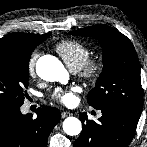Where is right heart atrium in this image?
Instances as JSON below:
<instances>
[{"label": "right heart atrium", "instance_id": "1", "mask_svg": "<svg viewBox=\"0 0 147 147\" xmlns=\"http://www.w3.org/2000/svg\"><path fill=\"white\" fill-rule=\"evenodd\" d=\"M38 57H39V53L35 51L31 54V56L29 58L28 71H29L30 75L35 74V66H36V62H37Z\"/></svg>", "mask_w": 147, "mask_h": 147}]
</instances>
